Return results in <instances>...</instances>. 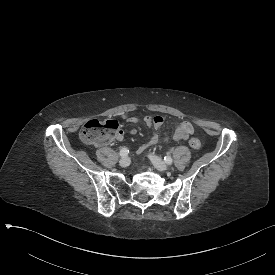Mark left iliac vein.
<instances>
[{"instance_id":"left-iliac-vein-1","label":"left iliac vein","mask_w":275,"mask_h":275,"mask_svg":"<svg viewBox=\"0 0 275 275\" xmlns=\"http://www.w3.org/2000/svg\"><path fill=\"white\" fill-rule=\"evenodd\" d=\"M151 162L153 165L159 170V171H166L167 170V165L166 163L158 156L154 154L149 155Z\"/></svg>"}]
</instances>
